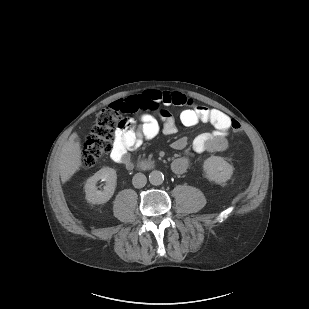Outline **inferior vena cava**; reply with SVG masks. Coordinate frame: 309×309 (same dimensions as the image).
Returning a JSON list of instances; mask_svg holds the SVG:
<instances>
[{"label": "inferior vena cava", "instance_id": "inferior-vena-cava-1", "mask_svg": "<svg viewBox=\"0 0 309 309\" xmlns=\"http://www.w3.org/2000/svg\"><path fill=\"white\" fill-rule=\"evenodd\" d=\"M132 183L135 188H142L146 185L147 178L144 174L137 173L133 176Z\"/></svg>", "mask_w": 309, "mask_h": 309}]
</instances>
